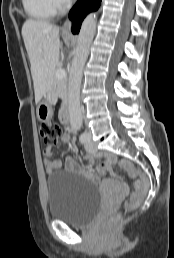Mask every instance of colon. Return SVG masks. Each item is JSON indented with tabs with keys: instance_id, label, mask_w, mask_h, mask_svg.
Here are the masks:
<instances>
[{
	"instance_id": "1",
	"label": "colon",
	"mask_w": 174,
	"mask_h": 258,
	"mask_svg": "<svg viewBox=\"0 0 174 258\" xmlns=\"http://www.w3.org/2000/svg\"><path fill=\"white\" fill-rule=\"evenodd\" d=\"M39 131L43 142L47 146L55 145L58 142V139L62 133L61 127L54 122H43L40 125ZM120 167L132 178H138L134 183V192L125 202V208L132 209L140 203L145 193V178L140 173V171L128 160H122L120 162ZM120 220L121 217L119 214L111 215L109 218L106 219L103 225V229L107 236H112L115 233L120 223Z\"/></svg>"
}]
</instances>
